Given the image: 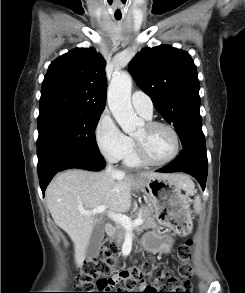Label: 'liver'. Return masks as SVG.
Returning <instances> with one entry per match:
<instances>
[{"mask_svg":"<svg viewBox=\"0 0 245 293\" xmlns=\"http://www.w3.org/2000/svg\"><path fill=\"white\" fill-rule=\"evenodd\" d=\"M151 178H171L188 192L194 188L185 175L157 172H141L135 177L125 172L111 176L108 171L70 169L51 181L45 192L47 206L55 224L74 243L77 267L82 266L93 228L100 223L96 215H83L80 210L105 205L111 212H126L131 207V190L141 188Z\"/></svg>","mask_w":245,"mask_h":293,"instance_id":"1","label":"liver"}]
</instances>
